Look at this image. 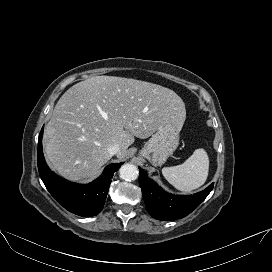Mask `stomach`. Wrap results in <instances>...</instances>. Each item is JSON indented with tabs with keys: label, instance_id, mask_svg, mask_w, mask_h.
Masks as SVG:
<instances>
[{
	"label": "stomach",
	"instance_id": "stomach-1",
	"mask_svg": "<svg viewBox=\"0 0 272 272\" xmlns=\"http://www.w3.org/2000/svg\"><path fill=\"white\" fill-rule=\"evenodd\" d=\"M180 130L173 121L161 125L146 142L140 155L154 166L164 164L179 144Z\"/></svg>",
	"mask_w": 272,
	"mask_h": 272
}]
</instances>
